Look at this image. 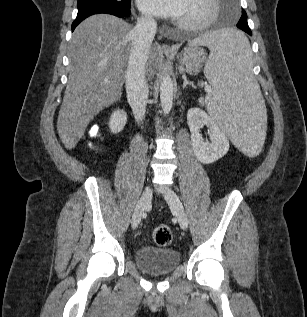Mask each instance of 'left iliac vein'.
<instances>
[{
	"label": "left iliac vein",
	"mask_w": 307,
	"mask_h": 317,
	"mask_svg": "<svg viewBox=\"0 0 307 317\" xmlns=\"http://www.w3.org/2000/svg\"><path fill=\"white\" fill-rule=\"evenodd\" d=\"M165 200L174 212L177 217L178 223L182 229H187L188 227V219L182 202L176 193L170 189H168L164 194Z\"/></svg>",
	"instance_id": "left-iliac-vein-1"
}]
</instances>
